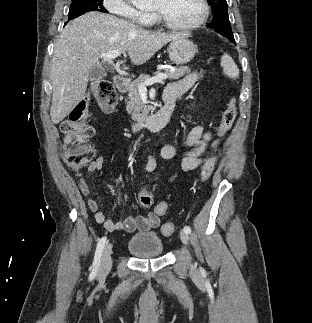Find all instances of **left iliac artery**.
Returning a JSON list of instances; mask_svg holds the SVG:
<instances>
[{"mask_svg":"<svg viewBox=\"0 0 312 323\" xmlns=\"http://www.w3.org/2000/svg\"><path fill=\"white\" fill-rule=\"evenodd\" d=\"M183 230H184L186 233H188V234H190V233H191V228H190L189 226H185V227L183 228Z\"/></svg>","mask_w":312,"mask_h":323,"instance_id":"obj_1","label":"left iliac artery"}]
</instances>
